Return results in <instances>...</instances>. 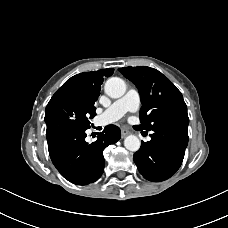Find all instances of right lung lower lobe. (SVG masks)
I'll return each instance as SVG.
<instances>
[{
    "label": "right lung lower lobe",
    "instance_id": "98d812e1",
    "mask_svg": "<svg viewBox=\"0 0 228 228\" xmlns=\"http://www.w3.org/2000/svg\"><path fill=\"white\" fill-rule=\"evenodd\" d=\"M86 130L68 129L47 138L54 166L65 179L77 185H87L101 177L103 150L121 137L119 127L108 125L95 142L88 144L85 141Z\"/></svg>",
    "mask_w": 228,
    "mask_h": 228
}]
</instances>
